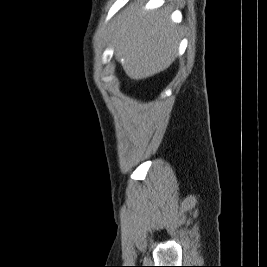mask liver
Returning a JSON list of instances; mask_svg holds the SVG:
<instances>
[{"instance_id":"liver-1","label":"liver","mask_w":267,"mask_h":267,"mask_svg":"<svg viewBox=\"0 0 267 267\" xmlns=\"http://www.w3.org/2000/svg\"><path fill=\"white\" fill-rule=\"evenodd\" d=\"M142 3H131L118 18L110 36L115 57L133 80L152 77L175 60L179 31L166 10L142 13Z\"/></svg>"}]
</instances>
